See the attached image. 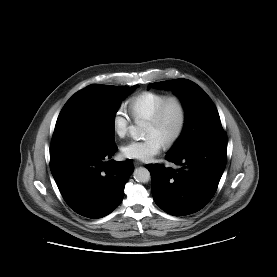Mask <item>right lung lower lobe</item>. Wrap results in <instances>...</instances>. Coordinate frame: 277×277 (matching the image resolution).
Listing matches in <instances>:
<instances>
[{
  "label": "right lung lower lobe",
  "mask_w": 277,
  "mask_h": 277,
  "mask_svg": "<svg viewBox=\"0 0 277 277\" xmlns=\"http://www.w3.org/2000/svg\"><path fill=\"white\" fill-rule=\"evenodd\" d=\"M117 146H102L90 139L53 134L50 169L64 200L76 213L102 218L115 210L134 170L130 159L107 161Z\"/></svg>",
  "instance_id": "98d812e1"
}]
</instances>
